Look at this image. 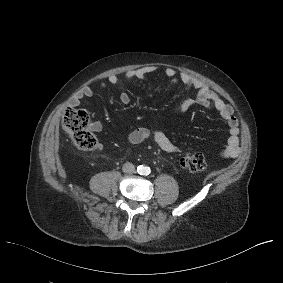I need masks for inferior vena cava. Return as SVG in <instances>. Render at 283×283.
Listing matches in <instances>:
<instances>
[{
  "label": "inferior vena cava",
  "instance_id": "602c4592",
  "mask_svg": "<svg viewBox=\"0 0 283 283\" xmlns=\"http://www.w3.org/2000/svg\"><path fill=\"white\" fill-rule=\"evenodd\" d=\"M123 172L125 173H134L135 172V167L132 163H125L122 167Z\"/></svg>",
  "mask_w": 283,
  "mask_h": 283
}]
</instances>
